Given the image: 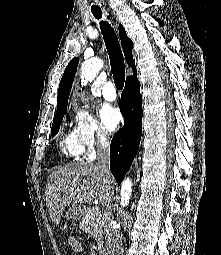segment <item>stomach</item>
Instances as JSON below:
<instances>
[{"instance_id": "0dacf381", "label": "stomach", "mask_w": 221, "mask_h": 255, "mask_svg": "<svg viewBox=\"0 0 221 255\" xmlns=\"http://www.w3.org/2000/svg\"><path fill=\"white\" fill-rule=\"evenodd\" d=\"M84 211H85L84 206L72 204L65 212V217L67 219L78 220L82 218Z\"/></svg>"}]
</instances>
